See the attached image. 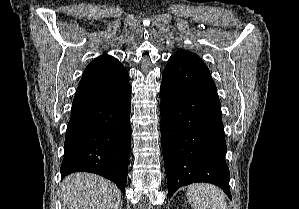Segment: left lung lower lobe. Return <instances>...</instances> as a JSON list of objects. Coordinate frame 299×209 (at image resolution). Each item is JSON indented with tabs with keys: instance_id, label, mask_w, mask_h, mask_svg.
I'll use <instances>...</instances> for the list:
<instances>
[{
	"instance_id": "1",
	"label": "left lung lower lobe",
	"mask_w": 299,
	"mask_h": 209,
	"mask_svg": "<svg viewBox=\"0 0 299 209\" xmlns=\"http://www.w3.org/2000/svg\"><path fill=\"white\" fill-rule=\"evenodd\" d=\"M160 93L169 198L194 182L215 184L231 198L221 103L207 66L203 61L170 58Z\"/></svg>"
}]
</instances>
